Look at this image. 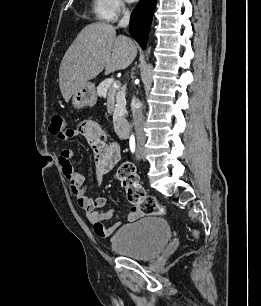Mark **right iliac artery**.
<instances>
[{
	"label": "right iliac artery",
	"mask_w": 261,
	"mask_h": 306,
	"mask_svg": "<svg viewBox=\"0 0 261 306\" xmlns=\"http://www.w3.org/2000/svg\"><path fill=\"white\" fill-rule=\"evenodd\" d=\"M130 149H131V152H132V153L135 152V138H134L133 135H132L131 138H130Z\"/></svg>",
	"instance_id": "right-iliac-artery-1"
}]
</instances>
